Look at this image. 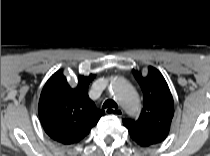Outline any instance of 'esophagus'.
<instances>
[{
    "instance_id": "esophagus-1",
    "label": "esophagus",
    "mask_w": 210,
    "mask_h": 156,
    "mask_svg": "<svg viewBox=\"0 0 210 156\" xmlns=\"http://www.w3.org/2000/svg\"><path fill=\"white\" fill-rule=\"evenodd\" d=\"M113 110H115V109L114 108H106L105 112H106V114H112ZM115 114L118 116H122L124 114V112L122 109L119 108L115 111Z\"/></svg>"
}]
</instances>
